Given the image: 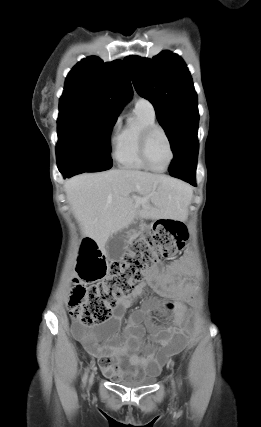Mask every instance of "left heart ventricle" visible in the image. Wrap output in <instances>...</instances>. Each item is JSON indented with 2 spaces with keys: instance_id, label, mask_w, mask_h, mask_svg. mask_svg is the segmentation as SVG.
Returning a JSON list of instances; mask_svg holds the SVG:
<instances>
[{
  "instance_id": "1",
  "label": "left heart ventricle",
  "mask_w": 261,
  "mask_h": 427,
  "mask_svg": "<svg viewBox=\"0 0 261 427\" xmlns=\"http://www.w3.org/2000/svg\"><path fill=\"white\" fill-rule=\"evenodd\" d=\"M170 157V151L165 137L161 133H155L148 146V158L153 167L162 169L166 166Z\"/></svg>"
}]
</instances>
